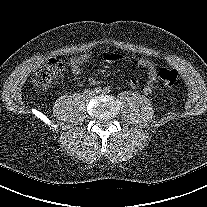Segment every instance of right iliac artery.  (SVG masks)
I'll return each instance as SVG.
<instances>
[{"instance_id": "right-iliac-artery-1", "label": "right iliac artery", "mask_w": 207, "mask_h": 207, "mask_svg": "<svg viewBox=\"0 0 207 207\" xmlns=\"http://www.w3.org/2000/svg\"><path fill=\"white\" fill-rule=\"evenodd\" d=\"M94 91H95L96 93H101V92H102V88H101V87H96V88L94 89Z\"/></svg>"}]
</instances>
